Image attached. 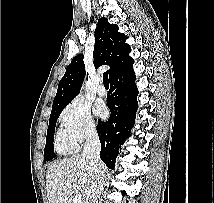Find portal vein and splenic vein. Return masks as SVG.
<instances>
[{
  "instance_id": "1",
  "label": "portal vein and splenic vein",
  "mask_w": 214,
  "mask_h": 203,
  "mask_svg": "<svg viewBox=\"0 0 214 203\" xmlns=\"http://www.w3.org/2000/svg\"><path fill=\"white\" fill-rule=\"evenodd\" d=\"M72 188L76 191L80 189V187L77 184H72ZM73 203H82V195L81 194L75 195L73 198Z\"/></svg>"
}]
</instances>
